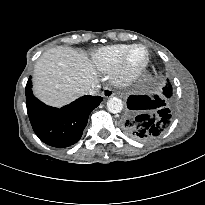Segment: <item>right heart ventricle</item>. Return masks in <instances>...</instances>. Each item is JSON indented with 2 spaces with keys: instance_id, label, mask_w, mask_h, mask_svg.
I'll return each mask as SVG.
<instances>
[{
  "instance_id": "1",
  "label": "right heart ventricle",
  "mask_w": 205,
  "mask_h": 205,
  "mask_svg": "<svg viewBox=\"0 0 205 205\" xmlns=\"http://www.w3.org/2000/svg\"><path fill=\"white\" fill-rule=\"evenodd\" d=\"M130 46L129 44H114L98 48L91 54L92 63L100 71H111Z\"/></svg>"
}]
</instances>
